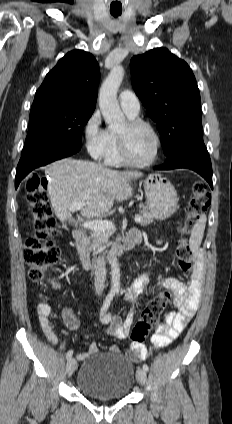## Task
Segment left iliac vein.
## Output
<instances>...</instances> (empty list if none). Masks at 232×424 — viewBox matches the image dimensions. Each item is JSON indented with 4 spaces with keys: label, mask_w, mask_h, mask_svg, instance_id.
Segmentation results:
<instances>
[{
    "label": "left iliac vein",
    "mask_w": 232,
    "mask_h": 424,
    "mask_svg": "<svg viewBox=\"0 0 232 424\" xmlns=\"http://www.w3.org/2000/svg\"><path fill=\"white\" fill-rule=\"evenodd\" d=\"M136 378H137V381H138L139 384H141V385L145 384L146 379H147L146 371L144 369H141V368L137 369Z\"/></svg>",
    "instance_id": "obj_1"
}]
</instances>
